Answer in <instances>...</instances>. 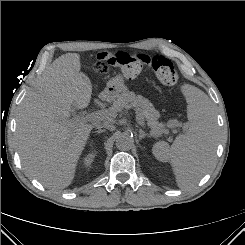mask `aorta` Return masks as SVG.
Instances as JSON below:
<instances>
[{
	"mask_svg": "<svg viewBox=\"0 0 245 245\" xmlns=\"http://www.w3.org/2000/svg\"><path fill=\"white\" fill-rule=\"evenodd\" d=\"M133 143L134 140L130 134L122 133L117 137L115 144L118 149L126 151L132 148Z\"/></svg>",
	"mask_w": 245,
	"mask_h": 245,
	"instance_id": "aorta-1",
	"label": "aorta"
}]
</instances>
